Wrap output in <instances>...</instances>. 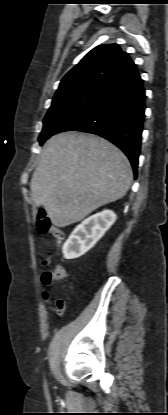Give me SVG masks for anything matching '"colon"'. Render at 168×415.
I'll return each mask as SVG.
<instances>
[{
  "mask_svg": "<svg viewBox=\"0 0 168 415\" xmlns=\"http://www.w3.org/2000/svg\"><path fill=\"white\" fill-rule=\"evenodd\" d=\"M37 230L40 234H49L55 241L60 244L64 239V233L61 229L55 227L44 211H40L36 221ZM65 277V272L60 265L49 264L48 269L43 274V282L46 285H52L61 282Z\"/></svg>",
  "mask_w": 168,
  "mask_h": 415,
  "instance_id": "colon-1",
  "label": "colon"
}]
</instances>
